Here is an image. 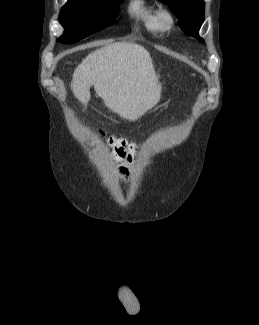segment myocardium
<instances>
[{
	"mask_svg": "<svg viewBox=\"0 0 259 325\" xmlns=\"http://www.w3.org/2000/svg\"><path fill=\"white\" fill-rule=\"evenodd\" d=\"M158 21L162 30H170L176 22L174 11L170 7H162L158 11Z\"/></svg>",
	"mask_w": 259,
	"mask_h": 325,
	"instance_id": "1",
	"label": "myocardium"
}]
</instances>
